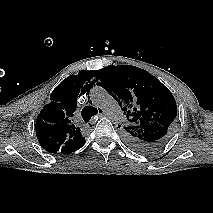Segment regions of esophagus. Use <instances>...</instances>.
Returning <instances> with one entry per match:
<instances>
[{
    "label": "esophagus",
    "mask_w": 213,
    "mask_h": 213,
    "mask_svg": "<svg viewBox=\"0 0 213 213\" xmlns=\"http://www.w3.org/2000/svg\"><path fill=\"white\" fill-rule=\"evenodd\" d=\"M101 112L98 113L97 116L94 117L93 120H91V122L88 124V126H92L93 124L96 123V121L98 120V118H101L104 116V111L102 109H100Z\"/></svg>",
    "instance_id": "34e87169"
}]
</instances>
